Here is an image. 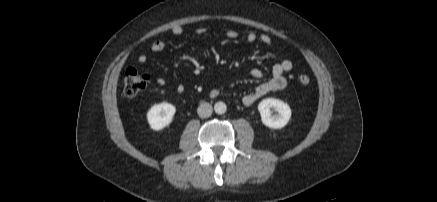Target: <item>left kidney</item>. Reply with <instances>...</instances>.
Wrapping results in <instances>:
<instances>
[{
  "mask_svg": "<svg viewBox=\"0 0 437 202\" xmlns=\"http://www.w3.org/2000/svg\"><path fill=\"white\" fill-rule=\"evenodd\" d=\"M262 123L273 129L283 128L291 117V109L288 104L279 99L267 98L258 105ZM272 110L277 113L273 114Z\"/></svg>",
  "mask_w": 437,
  "mask_h": 202,
  "instance_id": "1",
  "label": "left kidney"
}]
</instances>
